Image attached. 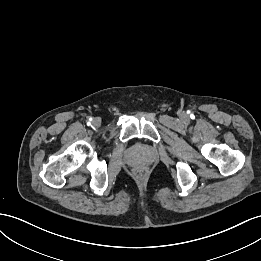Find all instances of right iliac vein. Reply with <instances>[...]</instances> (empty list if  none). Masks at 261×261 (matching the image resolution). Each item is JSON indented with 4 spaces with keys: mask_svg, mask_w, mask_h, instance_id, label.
<instances>
[{
    "mask_svg": "<svg viewBox=\"0 0 261 261\" xmlns=\"http://www.w3.org/2000/svg\"><path fill=\"white\" fill-rule=\"evenodd\" d=\"M92 125L96 128L99 127L101 125V120L99 118H94L92 121Z\"/></svg>",
    "mask_w": 261,
    "mask_h": 261,
    "instance_id": "right-iliac-vein-1",
    "label": "right iliac vein"
}]
</instances>
